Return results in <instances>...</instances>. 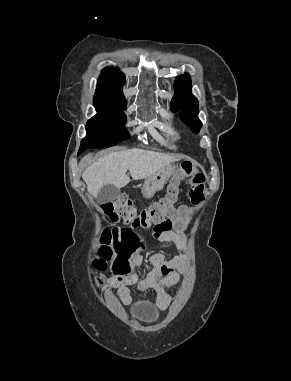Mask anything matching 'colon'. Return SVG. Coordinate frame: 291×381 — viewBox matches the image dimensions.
Returning a JSON list of instances; mask_svg holds the SVG:
<instances>
[{
    "instance_id": "5ec220e1",
    "label": "colon",
    "mask_w": 291,
    "mask_h": 381,
    "mask_svg": "<svg viewBox=\"0 0 291 381\" xmlns=\"http://www.w3.org/2000/svg\"><path fill=\"white\" fill-rule=\"evenodd\" d=\"M185 175L193 178V188L190 197L193 203L198 204L203 199V185L199 181V174H195L191 166L182 167ZM178 180H175L167 196L152 203L148 207L138 210L134 203L126 198L107 201L101 205L104 215L112 222L123 220L125 227L105 228L102 230L94 259L96 267L101 270L112 262L114 269L124 271L129 265L133 252L136 232L151 228L167 230L170 228L169 218L174 214Z\"/></svg>"
}]
</instances>
